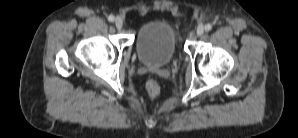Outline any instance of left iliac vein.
Wrapping results in <instances>:
<instances>
[{"instance_id":"1","label":"left iliac vein","mask_w":298,"mask_h":138,"mask_svg":"<svg viewBox=\"0 0 298 138\" xmlns=\"http://www.w3.org/2000/svg\"><path fill=\"white\" fill-rule=\"evenodd\" d=\"M205 31V28L202 24L198 25V27L196 28V34L197 35H202Z\"/></svg>"}]
</instances>
